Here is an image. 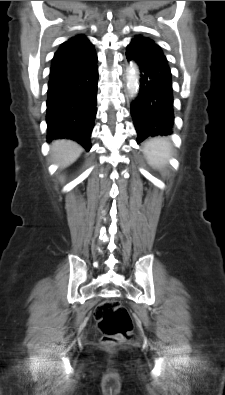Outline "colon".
<instances>
[{
  "label": "colon",
  "mask_w": 225,
  "mask_h": 395,
  "mask_svg": "<svg viewBox=\"0 0 225 395\" xmlns=\"http://www.w3.org/2000/svg\"><path fill=\"white\" fill-rule=\"evenodd\" d=\"M102 343L111 347L134 341L133 320L130 312L118 301L108 300L95 310Z\"/></svg>",
  "instance_id": "1"
}]
</instances>
